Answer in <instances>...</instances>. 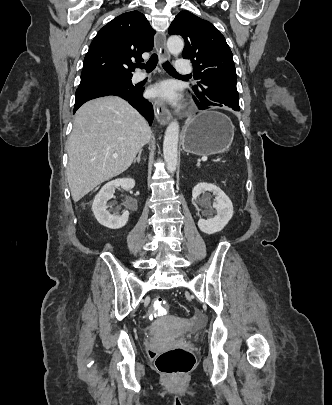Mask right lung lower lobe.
Wrapping results in <instances>:
<instances>
[{"label": "right lung lower lobe", "mask_w": 332, "mask_h": 405, "mask_svg": "<svg viewBox=\"0 0 332 405\" xmlns=\"http://www.w3.org/2000/svg\"><path fill=\"white\" fill-rule=\"evenodd\" d=\"M143 87L120 85L115 83H92L84 86H79L76 90V102L74 105V113L85 102L107 95H117L127 100L134 108L139 111L149 122L153 120L152 104L143 98Z\"/></svg>", "instance_id": "1"}]
</instances>
